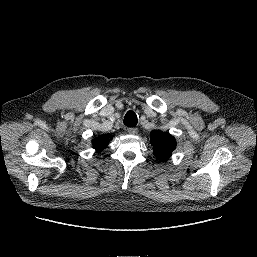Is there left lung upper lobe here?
Segmentation results:
<instances>
[{"mask_svg":"<svg viewBox=\"0 0 257 257\" xmlns=\"http://www.w3.org/2000/svg\"><path fill=\"white\" fill-rule=\"evenodd\" d=\"M150 142L154 148V155L162 162L169 159L176 148L175 138L161 130H153L151 132Z\"/></svg>","mask_w":257,"mask_h":257,"instance_id":"1","label":"left lung upper lobe"}]
</instances>
